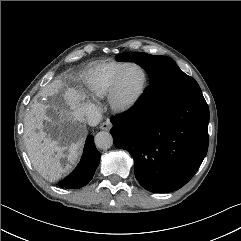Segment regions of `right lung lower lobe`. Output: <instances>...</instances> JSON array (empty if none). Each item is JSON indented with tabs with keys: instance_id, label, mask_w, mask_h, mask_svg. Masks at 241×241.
<instances>
[{
	"instance_id": "obj_1",
	"label": "right lung lower lobe",
	"mask_w": 241,
	"mask_h": 241,
	"mask_svg": "<svg viewBox=\"0 0 241 241\" xmlns=\"http://www.w3.org/2000/svg\"><path fill=\"white\" fill-rule=\"evenodd\" d=\"M100 156V152L94 144V137L89 135L79 164L70 175L59 183V186L67 189H78L87 185L99 165Z\"/></svg>"
}]
</instances>
